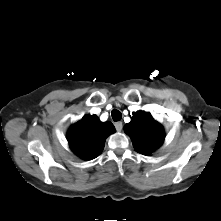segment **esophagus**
I'll return each mask as SVG.
<instances>
[{
    "instance_id": "34e87169",
    "label": "esophagus",
    "mask_w": 221,
    "mask_h": 221,
    "mask_svg": "<svg viewBox=\"0 0 221 221\" xmlns=\"http://www.w3.org/2000/svg\"><path fill=\"white\" fill-rule=\"evenodd\" d=\"M115 128H116L117 131H121L122 128H123L122 122H116L115 123Z\"/></svg>"
}]
</instances>
